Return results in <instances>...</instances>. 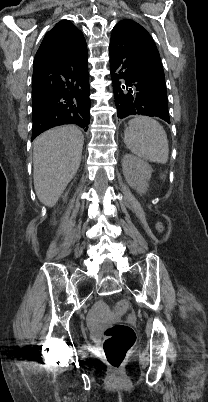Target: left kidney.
Segmentation results:
<instances>
[{
    "label": "left kidney",
    "mask_w": 208,
    "mask_h": 402,
    "mask_svg": "<svg viewBox=\"0 0 208 402\" xmlns=\"http://www.w3.org/2000/svg\"><path fill=\"white\" fill-rule=\"evenodd\" d=\"M122 168L127 184L137 190L139 194H145L152 174L150 164L141 158H137V156H133V154H125L122 160Z\"/></svg>",
    "instance_id": "obj_1"
}]
</instances>
